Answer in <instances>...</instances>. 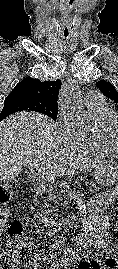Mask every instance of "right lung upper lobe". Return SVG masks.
I'll return each instance as SVG.
<instances>
[{"label": "right lung upper lobe", "mask_w": 118, "mask_h": 269, "mask_svg": "<svg viewBox=\"0 0 118 269\" xmlns=\"http://www.w3.org/2000/svg\"><path fill=\"white\" fill-rule=\"evenodd\" d=\"M60 80L40 81L27 77L17 84L9 95H24L42 105H57Z\"/></svg>", "instance_id": "right-lung-upper-lobe-1"}]
</instances>
